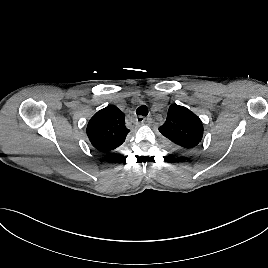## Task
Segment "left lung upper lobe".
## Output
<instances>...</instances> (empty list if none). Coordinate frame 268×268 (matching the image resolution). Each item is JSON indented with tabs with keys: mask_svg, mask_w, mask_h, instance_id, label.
Masks as SVG:
<instances>
[{
	"mask_svg": "<svg viewBox=\"0 0 268 268\" xmlns=\"http://www.w3.org/2000/svg\"><path fill=\"white\" fill-rule=\"evenodd\" d=\"M160 133L182 149H194L203 137V124L199 117L183 106L172 104Z\"/></svg>",
	"mask_w": 268,
	"mask_h": 268,
	"instance_id": "obj_1",
	"label": "left lung upper lobe"
}]
</instances>
